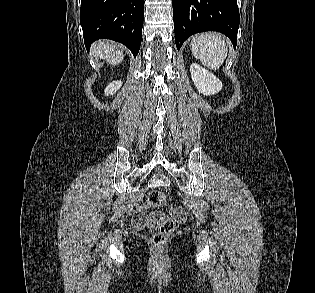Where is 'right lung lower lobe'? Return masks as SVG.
I'll return each mask as SVG.
<instances>
[{"label":"right lung lower lobe","mask_w":315,"mask_h":293,"mask_svg":"<svg viewBox=\"0 0 315 293\" xmlns=\"http://www.w3.org/2000/svg\"><path fill=\"white\" fill-rule=\"evenodd\" d=\"M143 19V0H81L80 24L87 50L94 41L106 38L126 45L136 56Z\"/></svg>","instance_id":"1"}]
</instances>
